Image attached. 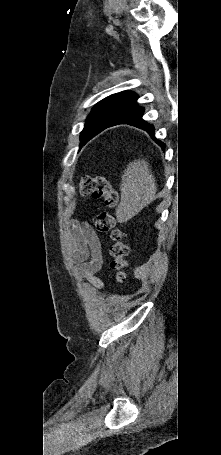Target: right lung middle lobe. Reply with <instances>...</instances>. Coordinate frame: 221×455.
<instances>
[{
	"label": "right lung middle lobe",
	"instance_id": "obj_1",
	"mask_svg": "<svg viewBox=\"0 0 221 455\" xmlns=\"http://www.w3.org/2000/svg\"><path fill=\"white\" fill-rule=\"evenodd\" d=\"M125 113L126 111L120 108L96 105L88 116L84 129L81 132L80 146L84 145L99 132L110 127Z\"/></svg>",
	"mask_w": 221,
	"mask_h": 455
}]
</instances>
